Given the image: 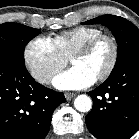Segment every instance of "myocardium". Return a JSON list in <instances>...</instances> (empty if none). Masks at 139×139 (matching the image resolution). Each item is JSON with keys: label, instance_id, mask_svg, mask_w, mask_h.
I'll list each match as a JSON object with an SVG mask.
<instances>
[{"label": "myocardium", "instance_id": "f54148a6", "mask_svg": "<svg viewBox=\"0 0 139 139\" xmlns=\"http://www.w3.org/2000/svg\"><path fill=\"white\" fill-rule=\"evenodd\" d=\"M102 41L109 42L112 52H111V58H110V61H109L108 65H107V67L96 78L97 81L106 80L113 73V71L115 70L116 65L118 63L119 46H118V43H117L116 39L113 36H111L109 34L101 33V34L89 39L84 44H82L79 48H77L75 50V52L71 56V62H72V60L75 57L91 52Z\"/></svg>", "mask_w": 139, "mask_h": 139}]
</instances>
